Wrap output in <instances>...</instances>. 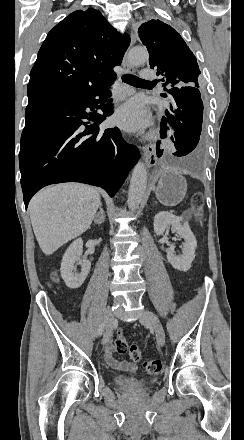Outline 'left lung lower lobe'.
<instances>
[{
	"mask_svg": "<svg viewBox=\"0 0 244 440\" xmlns=\"http://www.w3.org/2000/svg\"><path fill=\"white\" fill-rule=\"evenodd\" d=\"M199 87L184 86L166 89L172 103L169 111L166 110L168 119L163 117L161 121V137H166L167 121L173 126L175 132L171 140L174 142L176 152L174 156H185L193 151L200 139L201 125L203 120V102ZM167 97L166 94H162ZM157 156H161L157 151Z\"/></svg>",
	"mask_w": 244,
	"mask_h": 440,
	"instance_id": "obj_1",
	"label": "left lung lower lobe"
}]
</instances>
